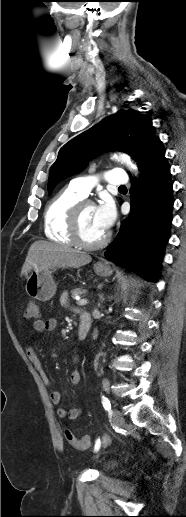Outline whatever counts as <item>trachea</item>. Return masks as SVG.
<instances>
[{
  "label": "trachea",
  "mask_w": 186,
  "mask_h": 517,
  "mask_svg": "<svg viewBox=\"0 0 186 517\" xmlns=\"http://www.w3.org/2000/svg\"><path fill=\"white\" fill-rule=\"evenodd\" d=\"M119 188H126V186H119Z\"/></svg>",
  "instance_id": "3493384b"
}]
</instances>
